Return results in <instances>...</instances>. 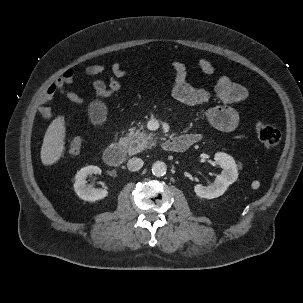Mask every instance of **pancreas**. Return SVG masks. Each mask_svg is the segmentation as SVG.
Returning <instances> with one entry per match:
<instances>
[{
  "label": "pancreas",
  "instance_id": "obj_1",
  "mask_svg": "<svg viewBox=\"0 0 303 303\" xmlns=\"http://www.w3.org/2000/svg\"><path fill=\"white\" fill-rule=\"evenodd\" d=\"M124 140L128 145L129 155H134L153 146L156 138L152 133L141 131L140 128H130Z\"/></svg>",
  "mask_w": 303,
  "mask_h": 303
}]
</instances>
